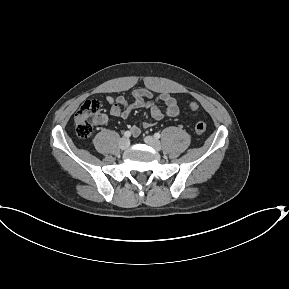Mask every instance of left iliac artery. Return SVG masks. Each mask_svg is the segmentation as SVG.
Listing matches in <instances>:
<instances>
[{"instance_id":"1","label":"left iliac artery","mask_w":289,"mask_h":289,"mask_svg":"<svg viewBox=\"0 0 289 289\" xmlns=\"http://www.w3.org/2000/svg\"><path fill=\"white\" fill-rule=\"evenodd\" d=\"M154 137H155L156 139H159V138H160V134H159V133H155V134H154Z\"/></svg>"}]
</instances>
